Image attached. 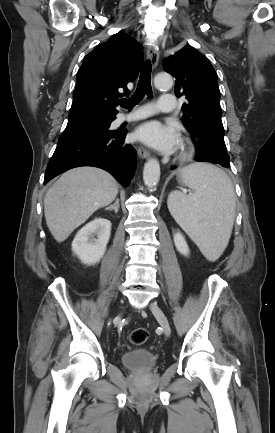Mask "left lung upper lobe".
Here are the masks:
<instances>
[{"label":"left lung upper lobe","instance_id":"1","mask_svg":"<svg viewBox=\"0 0 275 433\" xmlns=\"http://www.w3.org/2000/svg\"><path fill=\"white\" fill-rule=\"evenodd\" d=\"M164 69L176 78L177 97L186 96L182 121L198 152L197 161L228 164L219 104L217 74L209 60L185 46L164 61Z\"/></svg>","mask_w":275,"mask_h":433}]
</instances>
